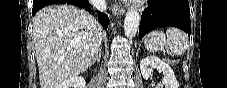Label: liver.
<instances>
[{
    "mask_svg": "<svg viewBox=\"0 0 227 88\" xmlns=\"http://www.w3.org/2000/svg\"><path fill=\"white\" fill-rule=\"evenodd\" d=\"M102 27L72 5L44 7L33 18V40L41 88H56L85 72L102 43Z\"/></svg>",
    "mask_w": 227,
    "mask_h": 88,
    "instance_id": "liver-1",
    "label": "liver"
}]
</instances>
